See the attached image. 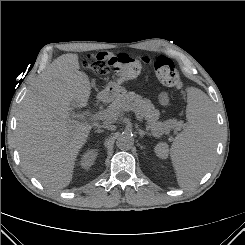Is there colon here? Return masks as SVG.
<instances>
[{
  "instance_id": "obj_1",
  "label": "colon",
  "mask_w": 245,
  "mask_h": 245,
  "mask_svg": "<svg viewBox=\"0 0 245 245\" xmlns=\"http://www.w3.org/2000/svg\"><path fill=\"white\" fill-rule=\"evenodd\" d=\"M144 63L152 65L157 78L162 84L177 89L182 87L183 83L174 63L165 56H158L150 60L148 57L134 56L127 53H117L114 56L98 54L88 56L84 61L85 66L95 73L107 75L113 72L123 81L137 76Z\"/></svg>"
}]
</instances>
